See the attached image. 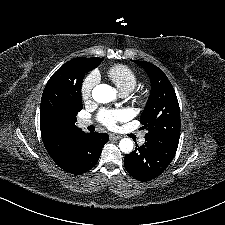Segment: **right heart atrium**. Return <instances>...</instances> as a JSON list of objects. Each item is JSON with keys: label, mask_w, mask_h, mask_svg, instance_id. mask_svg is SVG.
Here are the masks:
<instances>
[{"label": "right heart atrium", "mask_w": 225, "mask_h": 225, "mask_svg": "<svg viewBox=\"0 0 225 225\" xmlns=\"http://www.w3.org/2000/svg\"><path fill=\"white\" fill-rule=\"evenodd\" d=\"M99 80L96 72L89 73L83 80L81 87V96L83 100H90L92 98L93 90Z\"/></svg>", "instance_id": "right-heart-atrium-1"}]
</instances>
